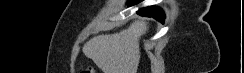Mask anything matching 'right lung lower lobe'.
<instances>
[{"instance_id": "obj_1", "label": "right lung lower lobe", "mask_w": 244, "mask_h": 73, "mask_svg": "<svg viewBox=\"0 0 244 73\" xmlns=\"http://www.w3.org/2000/svg\"><path fill=\"white\" fill-rule=\"evenodd\" d=\"M140 1L142 0H129L128 5L132 6L139 3ZM138 13L143 16H148V17L152 16L161 22H163L165 18L163 11L160 8L154 6L143 8L139 10Z\"/></svg>"}]
</instances>
